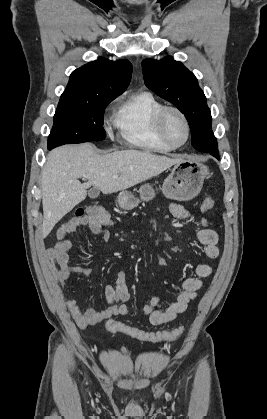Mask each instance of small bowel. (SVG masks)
Instances as JSON below:
<instances>
[{"instance_id": "obj_1", "label": "small bowel", "mask_w": 267, "mask_h": 419, "mask_svg": "<svg viewBox=\"0 0 267 419\" xmlns=\"http://www.w3.org/2000/svg\"><path fill=\"white\" fill-rule=\"evenodd\" d=\"M171 214L181 220L190 217V211L184 206L173 203L170 206ZM203 228L200 229L196 238L203 247L204 255L209 259H215L219 256L218 234L210 227L207 218L202 217ZM80 227H87L90 232L103 241L110 239L109 231L94 217L76 216L65 222L57 231V243L55 246L46 250V258L49 261L55 280L61 287H65L70 282L73 274H81L85 277H91L92 271L87 267L72 266L69 263V252L72 249V243L68 235ZM213 268L209 264H198L193 271V276L184 278L180 283V288L176 300L172 303L160 304V297L154 296L143 309V316L148 318L153 325H161L174 320L179 314L183 313L202 287V279L209 277ZM108 306L104 310L93 308L81 309L74 298H67L66 305L80 328L95 326L114 315L131 316L130 307L126 304L130 298L127 289V276L124 271H118L114 284H108L104 290Z\"/></svg>"}]
</instances>
